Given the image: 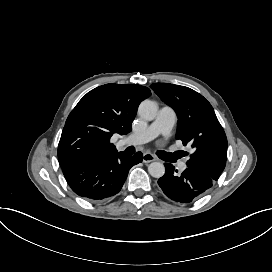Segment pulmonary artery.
Masks as SVG:
<instances>
[{
	"label": "pulmonary artery",
	"instance_id": "pulmonary-artery-1",
	"mask_svg": "<svg viewBox=\"0 0 272 272\" xmlns=\"http://www.w3.org/2000/svg\"><path fill=\"white\" fill-rule=\"evenodd\" d=\"M176 119L177 118L175 112L168 107H164L160 109L155 121L150 126H148V128L142 134L136 136H127L125 138V142L127 144L145 143L147 139H154L159 134L168 135L175 125ZM175 164L181 171H184L187 167L186 164L180 159L177 160Z\"/></svg>",
	"mask_w": 272,
	"mask_h": 272
}]
</instances>
